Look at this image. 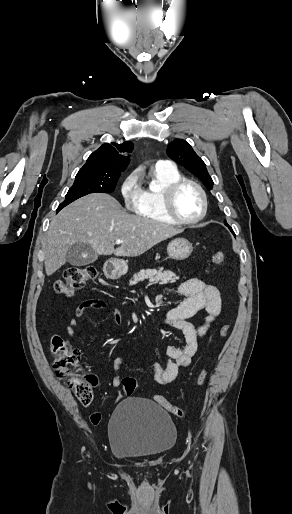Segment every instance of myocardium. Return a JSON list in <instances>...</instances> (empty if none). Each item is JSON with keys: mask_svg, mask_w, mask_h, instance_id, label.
I'll return each instance as SVG.
<instances>
[{"mask_svg": "<svg viewBox=\"0 0 292 514\" xmlns=\"http://www.w3.org/2000/svg\"><path fill=\"white\" fill-rule=\"evenodd\" d=\"M184 186H191L195 188L200 196L201 201V210L198 216L191 220H183L180 218L174 209V199L175 195ZM159 200L162 207L163 212L168 217V219L179 225H193L200 222L206 215L207 212V198L204 189L200 184L195 181L188 179H179L178 181L162 188L159 192Z\"/></svg>", "mask_w": 292, "mask_h": 514, "instance_id": "1", "label": "myocardium"}]
</instances>
